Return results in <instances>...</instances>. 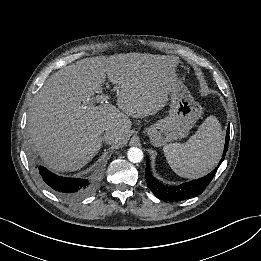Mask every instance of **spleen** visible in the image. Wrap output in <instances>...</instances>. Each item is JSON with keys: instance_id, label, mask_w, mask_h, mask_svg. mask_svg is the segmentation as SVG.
Returning <instances> with one entry per match:
<instances>
[{"instance_id": "spleen-1", "label": "spleen", "mask_w": 261, "mask_h": 261, "mask_svg": "<svg viewBox=\"0 0 261 261\" xmlns=\"http://www.w3.org/2000/svg\"><path fill=\"white\" fill-rule=\"evenodd\" d=\"M224 136L218 119L211 115L186 143L163 147L171 169L181 177L198 178L213 169L220 160Z\"/></svg>"}]
</instances>
